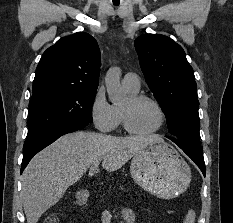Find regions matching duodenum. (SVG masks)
Returning a JSON list of instances; mask_svg holds the SVG:
<instances>
[{"mask_svg": "<svg viewBox=\"0 0 233 223\" xmlns=\"http://www.w3.org/2000/svg\"><path fill=\"white\" fill-rule=\"evenodd\" d=\"M88 199H89V193L87 191L82 190L77 193L74 200V204L78 206L84 205L87 203Z\"/></svg>", "mask_w": 233, "mask_h": 223, "instance_id": "duodenum-1", "label": "duodenum"}]
</instances>
